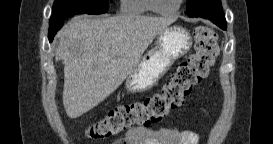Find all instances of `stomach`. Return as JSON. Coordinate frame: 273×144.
Segmentation results:
<instances>
[{
	"instance_id": "stomach-1",
	"label": "stomach",
	"mask_w": 273,
	"mask_h": 144,
	"mask_svg": "<svg viewBox=\"0 0 273 144\" xmlns=\"http://www.w3.org/2000/svg\"><path fill=\"white\" fill-rule=\"evenodd\" d=\"M192 46L190 32L182 26L167 27L158 34L155 46L144 54L128 75L125 87L129 92L145 91L168 71Z\"/></svg>"
}]
</instances>
